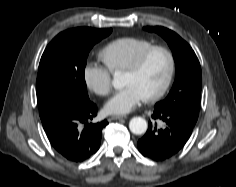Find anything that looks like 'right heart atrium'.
I'll use <instances>...</instances> for the list:
<instances>
[{
	"label": "right heart atrium",
	"mask_w": 236,
	"mask_h": 187,
	"mask_svg": "<svg viewBox=\"0 0 236 187\" xmlns=\"http://www.w3.org/2000/svg\"><path fill=\"white\" fill-rule=\"evenodd\" d=\"M83 80L88 89L97 95L105 96L111 91V73L98 63L91 62L84 66Z\"/></svg>",
	"instance_id": "d8ad5b80"
}]
</instances>
